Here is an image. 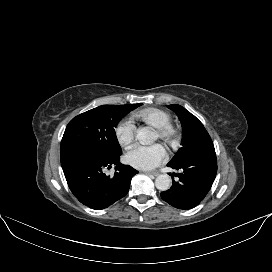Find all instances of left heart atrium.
<instances>
[{
	"mask_svg": "<svg viewBox=\"0 0 272 272\" xmlns=\"http://www.w3.org/2000/svg\"><path fill=\"white\" fill-rule=\"evenodd\" d=\"M166 159V151L160 144L136 146L127 155V162L140 170H151Z\"/></svg>",
	"mask_w": 272,
	"mask_h": 272,
	"instance_id": "39dd6f15",
	"label": "left heart atrium"
}]
</instances>
